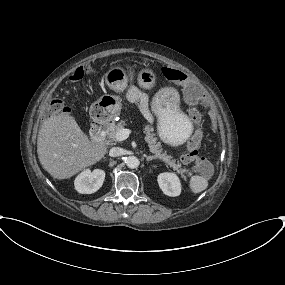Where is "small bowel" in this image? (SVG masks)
Masks as SVG:
<instances>
[{
    "instance_id": "small-bowel-1",
    "label": "small bowel",
    "mask_w": 285,
    "mask_h": 285,
    "mask_svg": "<svg viewBox=\"0 0 285 285\" xmlns=\"http://www.w3.org/2000/svg\"><path fill=\"white\" fill-rule=\"evenodd\" d=\"M127 98L130 102H133V103H137L139 104V106L141 107L144 100H145V95L142 94L140 91L138 90H135V89H131L128 91L127 93ZM211 174V170H209L207 172V176H210Z\"/></svg>"
}]
</instances>
